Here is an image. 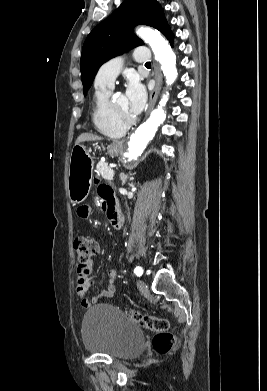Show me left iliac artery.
<instances>
[{
  "instance_id": "1",
  "label": "left iliac artery",
  "mask_w": 267,
  "mask_h": 391,
  "mask_svg": "<svg viewBox=\"0 0 267 391\" xmlns=\"http://www.w3.org/2000/svg\"><path fill=\"white\" fill-rule=\"evenodd\" d=\"M134 272H135V274H136L138 277H140V276L142 275V273H143V269H142L141 267L137 266V267L135 268Z\"/></svg>"
}]
</instances>
